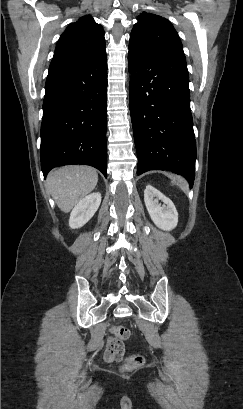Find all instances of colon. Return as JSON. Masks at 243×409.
Masks as SVG:
<instances>
[{"label": "colon", "instance_id": "obj_1", "mask_svg": "<svg viewBox=\"0 0 243 409\" xmlns=\"http://www.w3.org/2000/svg\"><path fill=\"white\" fill-rule=\"evenodd\" d=\"M113 333L121 340H128L130 338V331L125 327H114ZM145 362V358L142 355L133 354L126 357V360L122 366L124 371H131L141 367Z\"/></svg>", "mask_w": 243, "mask_h": 409}]
</instances>
